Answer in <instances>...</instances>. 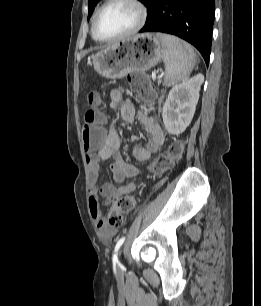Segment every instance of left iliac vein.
I'll return each instance as SVG.
<instances>
[{"label":"left iliac vein","mask_w":261,"mask_h":306,"mask_svg":"<svg viewBox=\"0 0 261 306\" xmlns=\"http://www.w3.org/2000/svg\"><path fill=\"white\" fill-rule=\"evenodd\" d=\"M120 254H121V251H119L118 255L120 256Z\"/></svg>","instance_id":"obj_1"}]
</instances>
